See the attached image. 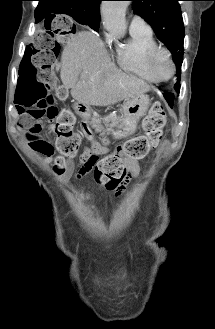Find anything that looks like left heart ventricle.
Masks as SVG:
<instances>
[{
    "label": "left heart ventricle",
    "mask_w": 215,
    "mask_h": 329,
    "mask_svg": "<svg viewBox=\"0 0 215 329\" xmlns=\"http://www.w3.org/2000/svg\"><path fill=\"white\" fill-rule=\"evenodd\" d=\"M157 70L161 77H167L171 72L170 64L165 56H161L157 61Z\"/></svg>",
    "instance_id": "b2bd125f"
}]
</instances>
